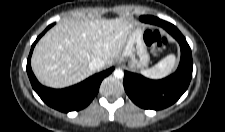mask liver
Listing matches in <instances>:
<instances>
[{
  "instance_id": "obj_1",
  "label": "liver",
  "mask_w": 225,
  "mask_h": 132,
  "mask_svg": "<svg viewBox=\"0 0 225 132\" xmlns=\"http://www.w3.org/2000/svg\"><path fill=\"white\" fill-rule=\"evenodd\" d=\"M136 25L127 17L64 20L36 44L32 70L41 84L51 88L79 83L95 72L89 68L94 58L103 59L105 68L113 64Z\"/></svg>"
}]
</instances>
